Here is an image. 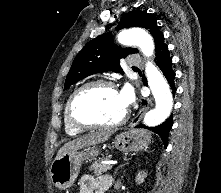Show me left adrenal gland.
<instances>
[{
	"mask_svg": "<svg viewBox=\"0 0 221 193\" xmlns=\"http://www.w3.org/2000/svg\"><path fill=\"white\" fill-rule=\"evenodd\" d=\"M126 164H128V163H126ZM123 166H125V164L120 165V166L115 170V172H114V177L117 175L118 170H119L120 168H122Z\"/></svg>",
	"mask_w": 221,
	"mask_h": 193,
	"instance_id": "obj_1",
	"label": "left adrenal gland"
}]
</instances>
